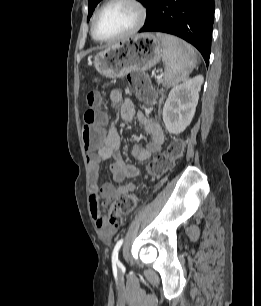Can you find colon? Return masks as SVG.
<instances>
[{"instance_id":"5ec220e1","label":"colon","mask_w":261,"mask_h":306,"mask_svg":"<svg viewBox=\"0 0 261 306\" xmlns=\"http://www.w3.org/2000/svg\"><path fill=\"white\" fill-rule=\"evenodd\" d=\"M131 88L138 94L142 102H149L154 97L153 89L147 77L142 73H135L129 78ZM88 108L84 114V125L82 128L83 142L86 150L99 148L104 137L102 114L97 111L96 106L100 96L96 91L88 92L86 96ZM183 150L181 140H173L166 151L157 155L148 166V174L152 178H158L168 170ZM141 198V193L124 194L112 206L109 213V224L119 226L136 206Z\"/></svg>"}]
</instances>
